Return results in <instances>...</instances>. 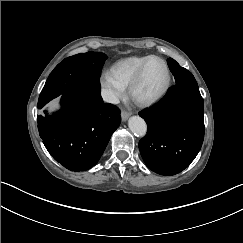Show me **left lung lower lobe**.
I'll list each match as a JSON object with an SVG mask.
<instances>
[{
  "label": "left lung lower lobe",
  "instance_id": "1",
  "mask_svg": "<svg viewBox=\"0 0 243 243\" xmlns=\"http://www.w3.org/2000/svg\"><path fill=\"white\" fill-rule=\"evenodd\" d=\"M139 115L148 125L139 142L146 166L161 175L187 168L204 139V103L197 84H175L166 96Z\"/></svg>",
  "mask_w": 243,
  "mask_h": 243
}]
</instances>
